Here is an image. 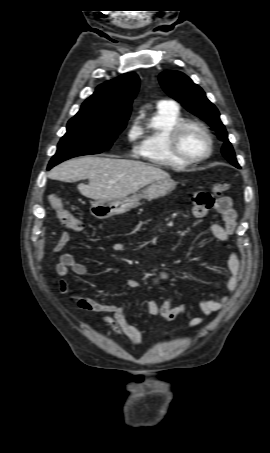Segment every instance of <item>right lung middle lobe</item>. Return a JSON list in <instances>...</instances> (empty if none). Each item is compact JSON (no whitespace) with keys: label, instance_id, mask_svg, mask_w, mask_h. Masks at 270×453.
I'll use <instances>...</instances> for the list:
<instances>
[{"label":"right lung middle lobe","instance_id":"1","mask_svg":"<svg viewBox=\"0 0 270 453\" xmlns=\"http://www.w3.org/2000/svg\"><path fill=\"white\" fill-rule=\"evenodd\" d=\"M125 126L94 117H73L67 124V132L58 143L48 169L75 156L108 150Z\"/></svg>","mask_w":270,"mask_h":453}]
</instances>
